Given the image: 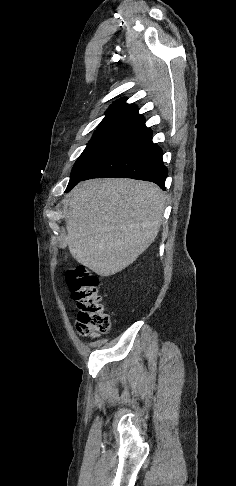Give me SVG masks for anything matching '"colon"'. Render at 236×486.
<instances>
[{
  "instance_id": "1",
  "label": "colon",
  "mask_w": 236,
  "mask_h": 486,
  "mask_svg": "<svg viewBox=\"0 0 236 486\" xmlns=\"http://www.w3.org/2000/svg\"><path fill=\"white\" fill-rule=\"evenodd\" d=\"M72 299L77 303L76 329L83 337H95L110 329V318L105 312L98 292L99 279L86 268L79 266L66 276Z\"/></svg>"
}]
</instances>
